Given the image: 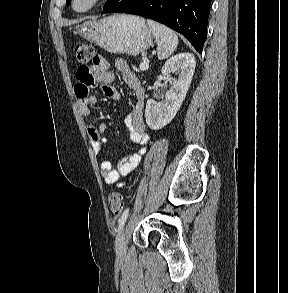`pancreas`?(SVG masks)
<instances>
[{
    "mask_svg": "<svg viewBox=\"0 0 288 293\" xmlns=\"http://www.w3.org/2000/svg\"><path fill=\"white\" fill-rule=\"evenodd\" d=\"M133 69L137 71V69L135 67H133ZM140 71H142V70L140 69Z\"/></svg>",
    "mask_w": 288,
    "mask_h": 293,
    "instance_id": "obj_1",
    "label": "pancreas"
}]
</instances>
